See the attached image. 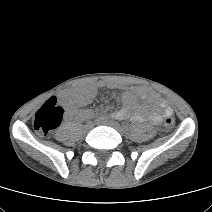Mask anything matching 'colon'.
I'll return each instance as SVG.
<instances>
[{"mask_svg": "<svg viewBox=\"0 0 212 212\" xmlns=\"http://www.w3.org/2000/svg\"><path fill=\"white\" fill-rule=\"evenodd\" d=\"M64 109L58 104L55 97L49 98L35 113L33 117V128L37 134L47 136L54 131L62 122ZM175 120L171 116H166L164 125L171 129Z\"/></svg>", "mask_w": 212, "mask_h": 212, "instance_id": "5ec220e1", "label": "colon"}]
</instances>
